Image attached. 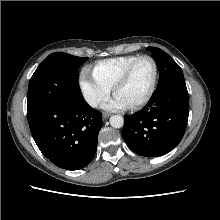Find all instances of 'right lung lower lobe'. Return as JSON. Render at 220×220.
I'll list each match as a JSON object with an SVG mask.
<instances>
[{
	"instance_id": "right-lung-lower-lobe-1",
	"label": "right lung lower lobe",
	"mask_w": 220,
	"mask_h": 220,
	"mask_svg": "<svg viewBox=\"0 0 220 220\" xmlns=\"http://www.w3.org/2000/svg\"><path fill=\"white\" fill-rule=\"evenodd\" d=\"M32 136L56 166L78 170L93 159L102 115L86 102L77 105L47 103L27 111Z\"/></svg>"
}]
</instances>
